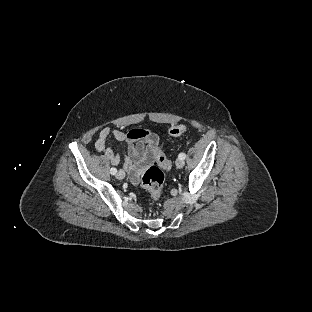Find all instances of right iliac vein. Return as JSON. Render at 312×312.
Masks as SVG:
<instances>
[{
	"label": "right iliac vein",
	"mask_w": 312,
	"mask_h": 312,
	"mask_svg": "<svg viewBox=\"0 0 312 312\" xmlns=\"http://www.w3.org/2000/svg\"><path fill=\"white\" fill-rule=\"evenodd\" d=\"M116 176L119 180H123L125 178V172L123 170H119Z\"/></svg>",
	"instance_id": "obj_1"
}]
</instances>
